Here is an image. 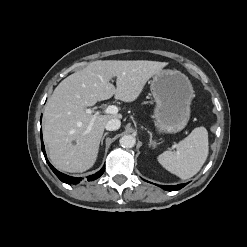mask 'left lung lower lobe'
I'll use <instances>...</instances> for the list:
<instances>
[{
	"label": "left lung lower lobe",
	"mask_w": 247,
	"mask_h": 247,
	"mask_svg": "<svg viewBox=\"0 0 247 247\" xmlns=\"http://www.w3.org/2000/svg\"><path fill=\"white\" fill-rule=\"evenodd\" d=\"M185 185L186 184H178V185H171V186L163 185V186H161V188L164 189V190H167V191H176V190H180Z\"/></svg>",
	"instance_id": "left-lung-lower-lobe-1"
}]
</instances>
